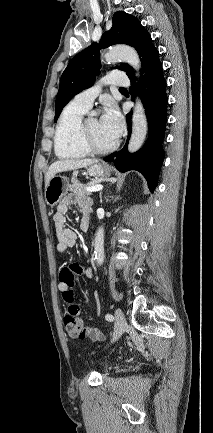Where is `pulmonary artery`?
Returning a JSON list of instances; mask_svg holds the SVG:
<instances>
[{"mask_svg":"<svg viewBox=\"0 0 213 433\" xmlns=\"http://www.w3.org/2000/svg\"><path fill=\"white\" fill-rule=\"evenodd\" d=\"M129 83L130 81L126 76V74L120 71H113L102 80V84L120 86V87L128 86ZM100 91H101V84H97L93 87H90L78 93L74 97L72 102L75 105L88 110L92 106V103L95 100V98L99 95Z\"/></svg>","mask_w":213,"mask_h":433,"instance_id":"pulmonary-artery-1","label":"pulmonary artery"}]
</instances>
